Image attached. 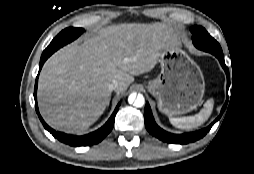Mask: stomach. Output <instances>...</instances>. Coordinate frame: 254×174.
Wrapping results in <instances>:
<instances>
[{"label":"stomach","instance_id":"1","mask_svg":"<svg viewBox=\"0 0 254 174\" xmlns=\"http://www.w3.org/2000/svg\"><path fill=\"white\" fill-rule=\"evenodd\" d=\"M161 71L147 83L159 110L168 116L185 114L202 101L205 81L199 66L179 45L164 47L158 59Z\"/></svg>","mask_w":254,"mask_h":174}]
</instances>
